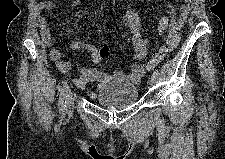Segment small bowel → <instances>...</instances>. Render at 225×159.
Instances as JSON below:
<instances>
[{
    "instance_id": "c3829d8e",
    "label": "small bowel",
    "mask_w": 225,
    "mask_h": 159,
    "mask_svg": "<svg viewBox=\"0 0 225 159\" xmlns=\"http://www.w3.org/2000/svg\"><path fill=\"white\" fill-rule=\"evenodd\" d=\"M79 2H73V7H77ZM54 8V4L49 1H41L37 4L38 11H47ZM190 10L188 2H184L180 11L177 13L173 4H168V11L171 15L170 26L168 29L169 17L164 15L159 21V34L165 36L166 44L169 49L176 48L180 41L181 29L184 20ZM37 24L39 34L42 42L51 47L49 56L51 60L56 63L57 69L62 74H68L71 70V64L68 61L61 59L62 52L58 48H54V38L51 34V29L46 17L42 14L38 15ZM118 24L127 29L131 34V42L133 47L132 62L129 65L128 71L123 72L116 70L112 73H105L95 65L101 63L104 59L109 57V49L105 43L95 45L89 42L73 41L70 44L72 52L85 48L90 52V63L80 69L78 78L74 80V84L81 89L86 88L89 83H97L100 87L105 86L113 81H125L129 84H138L145 74L144 66L141 61L147 56L150 44L147 40L143 39L140 31V22L137 14L135 13L132 2L129 1L121 7ZM96 92H91L90 96L94 97Z\"/></svg>"
}]
</instances>
